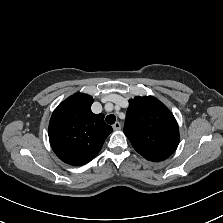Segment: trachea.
<instances>
[{"label":"trachea","instance_id":"obj_1","mask_svg":"<svg viewBox=\"0 0 223 223\" xmlns=\"http://www.w3.org/2000/svg\"><path fill=\"white\" fill-rule=\"evenodd\" d=\"M115 121H116V117H115L114 114H110V115H108V116L106 117V122H107L108 124H114Z\"/></svg>","mask_w":223,"mask_h":223}]
</instances>
